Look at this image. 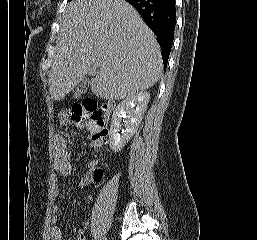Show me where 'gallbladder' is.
Returning a JSON list of instances; mask_svg holds the SVG:
<instances>
[{"label":"gallbladder","mask_w":257,"mask_h":240,"mask_svg":"<svg viewBox=\"0 0 257 240\" xmlns=\"http://www.w3.org/2000/svg\"><path fill=\"white\" fill-rule=\"evenodd\" d=\"M89 82V79L84 78L76 85V89L73 95L74 99H78L82 94H84L87 91Z\"/></svg>","instance_id":"gallbladder-1"}]
</instances>
